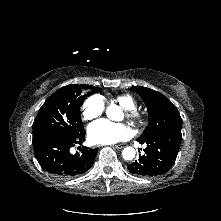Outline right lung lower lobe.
Listing matches in <instances>:
<instances>
[{
    "mask_svg": "<svg viewBox=\"0 0 221 221\" xmlns=\"http://www.w3.org/2000/svg\"><path fill=\"white\" fill-rule=\"evenodd\" d=\"M85 140V131L75 137L52 136L33 144L41 167L58 177L71 178L85 173L94 163L98 149L83 147L70 153V148Z\"/></svg>",
    "mask_w": 221,
    "mask_h": 221,
    "instance_id": "obj_1",
    "label": "right lung lower lobe"
}]
</instances>
